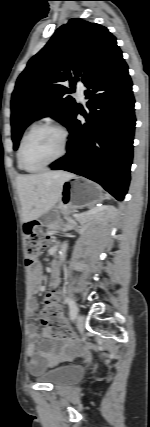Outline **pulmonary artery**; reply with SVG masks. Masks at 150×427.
I'll use <instances>...</instances> for the list:
<instances>
[{"instance_id": "pulmonary-artery-1", "label": "pulmonary artery", "mask_w": 150, "mask_h": 427, "mask_svg": "<svg viewBox=\"0 0 150 427\" xmlns=\"http://www.w3.org/2000/svg\"><path fill=\"white\" fill-rule=\"evenodd\" d=\"M76 87H77L76 95H77V97H78V99H79L80 101H83V99H84L85 87H84V85H83L81 82H77Z\"/></svg>"}]
</instances>
